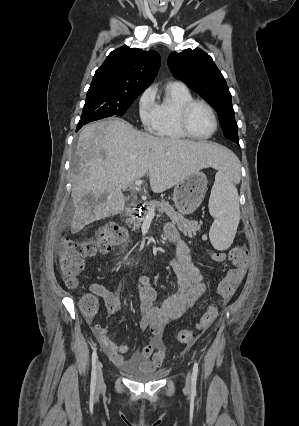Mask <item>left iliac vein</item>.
I'll return each instance as SVG.
<instances>
[{
  "label": "left iliac vein",
  "mask_w": 299,
  "mask_h": 426,
  "mask_svg": "<svg viewBox=\"0 0 299 426\" xmlns=\"http://www.w3.org/2000/svg\"><path fill=\"white\" fill-rule=\"evenodd\" d=\"M190 379H191V374H190V372L187 374V376H186V387H189V385H190Z\"/></svg>",
  "instance_id": "4c4485c4"
}]
</instances>
